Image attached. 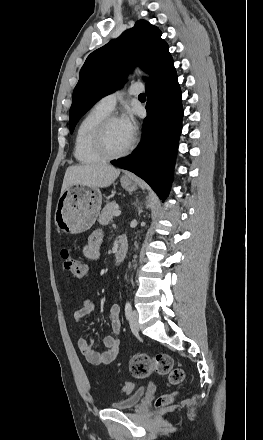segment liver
<instances>
[{"label": "liver", "instance_id": "1", "mask_svg": "<svg viewBox=\"0 0 263 440\" xmlns=\"http://www.w3.org/2000/svg\"><path fill=\"white\" fill-rule=\"evenodd\" d=\"M119 174L120 169L107 163L70 166L66 169L61 192L72 185L106 188L117 179Z\"/></svg>", "mask_w": 263, "mask_h": 440}]
</instances>
